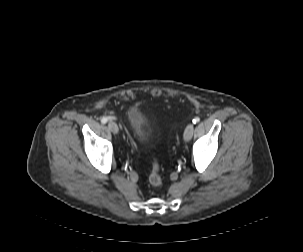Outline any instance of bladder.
<instances>
[{"label":"bladder","mask_w":303,"mask_h":252,"mask_svg":"<svg viewBox=\"0 0 303 252\" xmlns=\"http://www.w3.org/2000/svg\"><path fill=\"white\" fill-rule=\"evenodd\" d=\"M128 123L141 145H150L152 141L151 123L142 110L139 108H132L128 112Z\"/></svg>","instance_id":"31cf9c89"}]
</instances>
